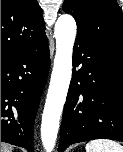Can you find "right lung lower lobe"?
<instances>
[{
    "label": "right lung lower lobe",
    "mask_w": 123,
    "mask_h": 152,
    "mask_svg": "<svg viewBox=\"0 0 123 152\" xmlns=\"http://www.w3.org/2000/svg\"><path fill=\"white\" fill-rule=\"evenodd\" d=\"M46 36L35 45L1 55V141L33 152V129L48 70Z\"/></svg>",
    "instance_id": "obj_1"
}]
</instances>
